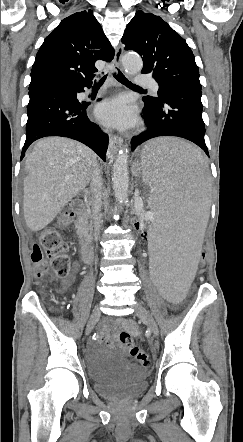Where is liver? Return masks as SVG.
<instances>
[{"label": "liver", "mask_w": 243, "mask_h": 442, "mask_svg": "<svg viewBox=\"0 0 243 442\" xmlns=\"http://www.w3.org/2000/svg\"><path fill=\"white\" fill-rule=\"evenodd\" d=\"M96 164V154L72 139L37 141L25 161L23 211L28 228L37 232L50 224L86 188Z\"/></svg>", "instance_id": "1"}]
</instances>
